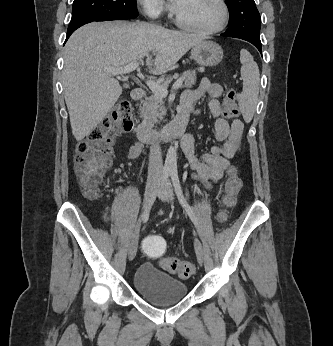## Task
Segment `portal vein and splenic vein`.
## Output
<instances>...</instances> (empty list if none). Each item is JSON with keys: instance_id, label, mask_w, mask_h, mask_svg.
Returning <instances> with one entry per match:
<instances>
[{"instance_id": "18ae733b", "label": "portal vein and splenic vein", "mask_w": 333, "mask_h": 346, "mask_svg": "<svg viewBox=\"0 0 333 346\" xmlns=\"http://www.w3.org/2000/svg\"><path fill=\"white\" fill-rule=\"evenodd\" d=\"M138 67H139V63H132L121 68H105L104 71L110 75L115 76V75H122V74L133 72ZM183 81H184L183 78H179L178 80H176L172 86V90H176L179 87H181L183 84ZM146 84L150 88V90L154 93V95L161 98L166 97L168 95L167 87L161 85L160 83L152 81V80H148Z\"/></svg>"}]
</instances>
